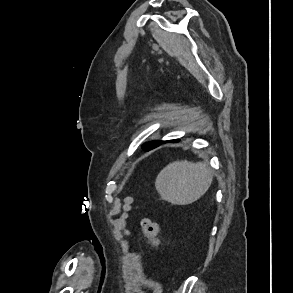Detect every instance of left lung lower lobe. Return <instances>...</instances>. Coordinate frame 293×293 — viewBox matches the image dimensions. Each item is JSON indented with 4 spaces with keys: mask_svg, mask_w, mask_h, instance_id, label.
Wrapping results in <instances>:
<instances>
[{
    "mask_svg": "<svg viewBox=\"0 0 293 293\" xmlns=\"http://www.w3.org/2000/svg\"><path fill=\"white\" fill-rule=\"evenodd\" d=\"M177 141H179L178 139H176V140H172V142H177ZM161 143H163V141H160V142H157L152 148H155V147H157L158 145H160ZM151 148V149H152ZM150 150V149H149Z\"/></svg>",
    "mask_w": 293,
    "mask_h": 293,
    "instance_id": "0a47b994",
    "label": "left lung lower lobe"
}]
</instances>
